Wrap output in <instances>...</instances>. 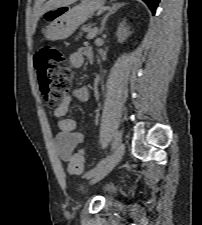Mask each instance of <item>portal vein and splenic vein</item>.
Wrapping results in <instances>:
<instances>
[{"label": "portal vein and splenic vein", "instance_id": "18ae733b", "mask_svg": "<svg viewBox=\"0 0 202 225\" xmlns=\"http://www.w3.org/2000/svg\"><path fill=\"white\" fill-rule=\"evenodd\" d=\"M97 27H94L88 32L87 39H93L97 34Z\"/></svg>", "mask_w": 202, "mask_h": 225}]
</instances>
